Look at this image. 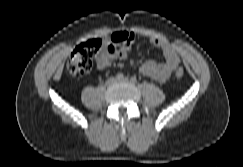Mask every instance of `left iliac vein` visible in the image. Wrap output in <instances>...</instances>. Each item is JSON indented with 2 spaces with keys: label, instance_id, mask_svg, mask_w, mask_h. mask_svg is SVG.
<instances>
[{
  "label": "left iliac vein",
  "instance_id": "1",
  "mask_svg": "<svg viewBox=\"0 0 243 167\" xmlns=\"http://www.w3.org/2000/svg\"><path fill=\"white\" fill-rule=\"evenodd\" d=\"M117 82H124V83H128V82H129V80H128V78H124V79H121V80L117 79Z\"/></svg>",
  "mask_w": 243,
  "mask_h": 167
}]
</instances>
